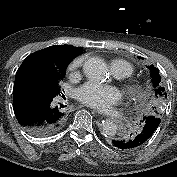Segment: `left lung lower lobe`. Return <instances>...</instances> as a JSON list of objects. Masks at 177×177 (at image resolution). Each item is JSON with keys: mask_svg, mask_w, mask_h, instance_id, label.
Here are the masks:
<instances>
[{"mask_svg": "<svg viewBox=\"0 0 177 177\" xmlns=\"http://www.w3.org/2000/svg\"><path fill=\"white\" fill-rule=\"evenodd\" d=\"M161 122L159 117L149 115L142 120L141 130L130 137L121 136L112 141V144L121 150H131L143 145L154 133Z\"/></svg>", "mask_w": 177, "mask_h": 177, "instance_id": "1", "label": "left lung lower lobe"}]
</instances>
